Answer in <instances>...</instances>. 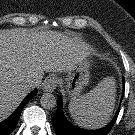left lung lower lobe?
<instances>
[{"label":"left lung lower lobe","mask_w":135,"mask_h":135,"mask_svg":"<svg viewBox=\"0 0 135 135\" xmlns=\"http://www.w3.org/2000/svg\"><path fill=\"white\" fill-rule=\"evenodd\" d=\"M119 110L114 119L104 128L99 130H84L70 124L62 111V97L60 96L57 103V112L52 117V123L57 135H107L116 122Z\"/></svg>","instance_id":"0a47b994"}]
</instances>
